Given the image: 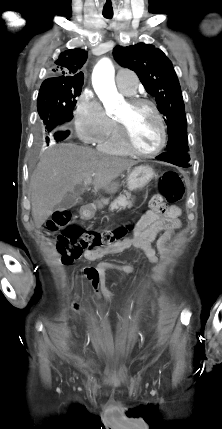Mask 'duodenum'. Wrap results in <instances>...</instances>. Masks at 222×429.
Instances as JSON below:
<instances>
[{"label":"duodenum","instance_id":"1","mask_svg":"<svg viewBox=\"0 0 222 429\" xmlns=\"http://www.w3.org/2000/svg\"><path fill=\"white\" fill-rule=\"evenodd\" d=\"M93 208H94V204H93V203H88V204L85 206V209H86L87 211H91Z\"/></svg>","mask_w":222,"mask_h":429}]
</instances>
